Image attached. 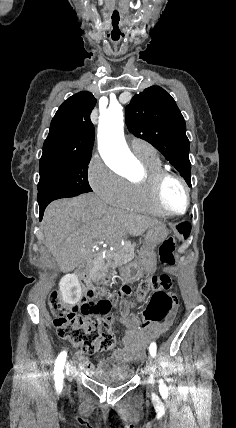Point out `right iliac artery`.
<instances>
[{
  "label": "right iliac artery",
  "instance_id": "82829eb1",
  "mask_svg": "<svg viewBox=\"0 0 236 428\" xmlns=\"http://www.w3.org/2000/svg\"><path fill=\"white\" fill-rule=\"evenodd\" d=\"M67 352L63 351L59 354L55 361L54 374H63V369L66 361Z\"/></svg>",
  "mask_w": 236,
  "mask_h": 428
}]
</instances>
